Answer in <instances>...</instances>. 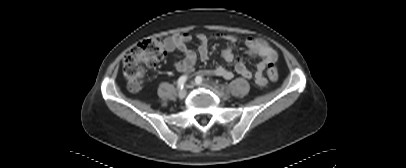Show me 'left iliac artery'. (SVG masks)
Here are the masks:
<instances>
[{
	"label": "left iliac artery",
	"instance_id": "obj_1",
	"mask_svg": "<svg viewBox=\"0 0 406 168\" xmlns=\"http://www.w3.org/2000/svg\"><path fill=\"white\" fill-rule=\"evenodd\" d=\"M202 81H203V78H202L201 76H197V77L195 78V82H196L197 84H201Z\"/></svg>",
	"mask_w": 406,
	"mask_h": 168
}]
</instances>
